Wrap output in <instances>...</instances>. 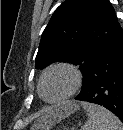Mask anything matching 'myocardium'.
Instances as JSON below:
<instances>
[{"label":"myocardium","instance_id":"1","mask_svg":"<svg viewBox=\"0 0 123 130\" xmlns=\"http://www.w3.org/2000/svg\"><path fill=\"white\" fill-rule=\"evenodd\" d=\"M55 69H64V70L69 71L73 77V84H72L71 89L63 96L57 99H47L43 94V82L46 75ZM82 81H83L82 72L76 65L70 62H56L46 67L45 70L42 72L39 79V85H38L39 94L41 98L48 103H52V104L60 103L73 97L81 88Z\"/></svg>","mask_w":123,"mask_h":130}]
</instances>
